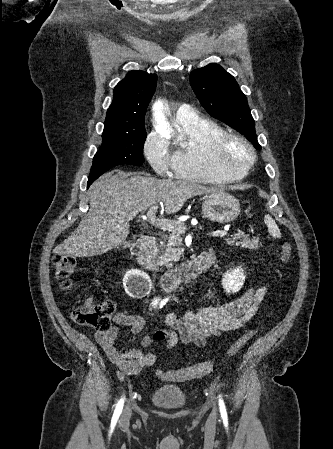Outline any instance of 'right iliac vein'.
<instances>
[{
  "label": "right iliac vein",
  "mask_w": 333,
  "mask_h": 449,
  "mask_svg": "<svg viewBox=\"0 0 333 449\" xmlns=\"http://www.w3.org/2000/svg\"><path fill=\"white\" fill-rule=\"evenodd\" d=\"M130 417H131V410H130L129 407H126L125 410H124V413H123V415L121 417V423L123 425L128 424V422L130 420Z\"/></svg>",
  "instance_id": "1"
}]
</instances>
